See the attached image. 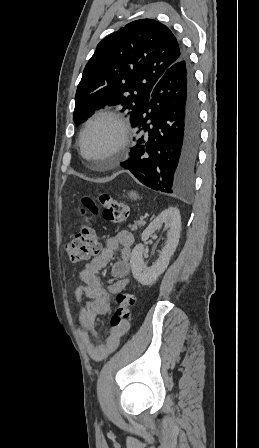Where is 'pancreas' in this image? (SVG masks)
<instances>
[{
  "mask_svg": "<svg viewBox=\"0 0 259 448\" xmlns=\"http://www.w3.org/2000/svg\"><path fill=\"white\" fill-rule=\"evenodd\" d=\"M141 228V226H144V222H134L133 226H128V228H130V230H132V232H134V230H137V228Z\"/></svg>",
  "mask_w": 259,
  "mask_h": 448,
  "instance_id": "cf45deb5",
  "label": "pancreas"
}]
</instances>
